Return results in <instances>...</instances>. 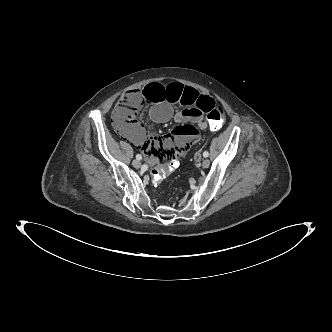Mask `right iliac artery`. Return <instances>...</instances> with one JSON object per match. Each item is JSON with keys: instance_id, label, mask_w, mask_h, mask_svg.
Instances as JSON below:
<instances>
[{"instance_id": "obj_1", "label": "right iliac artery", "mask_w": 332, "mask_h": 332, "mask_svg": "<svg viewBox=\"0 0 332 332\" xmlns=\"http://www.w3.org/2000/svg\"><path fill=\"white\" fill-rule=\"evenodd\" d=\"M136 159H137V160H141V159H142V156H141L140 154H137V155H136Z\"/></svg>"}]
</instances>
